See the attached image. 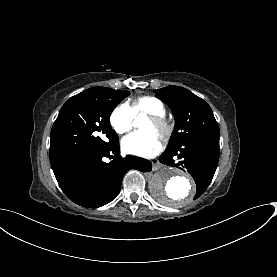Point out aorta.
Listing matches in <instances>:
<instances>
[{
    "instance_id": "aorta-1",
    "label": "aorta",
    "mask_w": 277,
    "mask_h": 277,
    "mask_svg": "<svg viewBox=\"0 0 277 277\" xmlns=\"http://www.w3.org/2000/svg\"><path fill=\"white\" fill-rule=\"evenodd\" d=\"M139 115L134 125L142 119ZM150 190L155 199L165 205H184L192 199L196 187L192 178L181 170L163 168L151 179Z\"/></svg>"
}]
</instances>
